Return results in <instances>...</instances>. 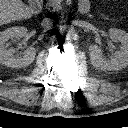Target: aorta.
<instances>
[{
    "instance_id": "obj_1",
    "label": "aorta",
    "mask_w": 128,
    "mask_h": 128,
    "mask_svg": "<svg viewBox=\"0 0 128 128\" xmlns=\"http://www.w3.org/2000/svg\"><path fill=\"white\" fill-rule=\"evenodd\" d=\"M75 30L73 27L64 25L60 27V33L62 36H65L66 38H70L74 34Z\"/></svg>"
}]
</instances>
